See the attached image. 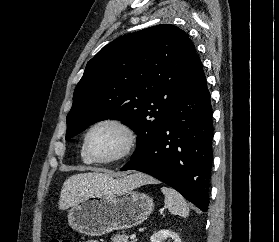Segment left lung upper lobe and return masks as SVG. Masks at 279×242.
Listing matches in <instances>:
<instances>
[{"instance_id":"5c2ea615","label":"left lung upper lobe","mask_w":279,"mask_h":242,"mask_svg":"<svg viewBox=\"0 0 279 242\" xmlns=\"http://www.w3.org/2000/svg\"><path fill=\"white\" fill-rule=\"evenodd\" d=\"M198 59L187 34L170 24L112 41L87 63L75 88L66 139L117 119L138 135L131 159L142 155L159 136Z\"/></svg>"}]
</instances>
